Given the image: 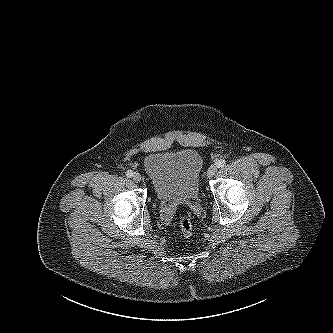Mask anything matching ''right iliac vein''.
<instances>
[{"instance_id":"right-iliac-vein-1","label":"right iliac vein","mask_w":333,"mask_h":333,"mask_svg":"<svg viewBox=\"0 0 333 333\" xmlns=\"http://www.w3.org/2000/svg\"><path fill=\"white\" fill-rule=\"evenodd\" d=\"M132 177L135 182H140L142 179L139 173H134Z\"/></svg>"}]
</instances>
